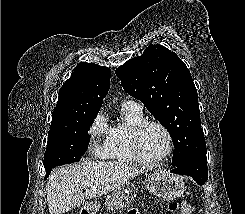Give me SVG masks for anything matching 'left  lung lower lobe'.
<instances>
[{"mask_svg":"<svg viewBox=\"0 0 245 214\" xmlns=\"http://www.w3.org/2000/svg\"><path fill=\"white\" fill-rule=\"evenodd\" d=\"M171 172L191 176L199 185H203L208 179L206 155L197 156L171 170Z\"/></svg>","mask_w":245,"mask_h":214,"instance_id":"0a47b994","label":"left lung lower lobe"}]
</instances>
